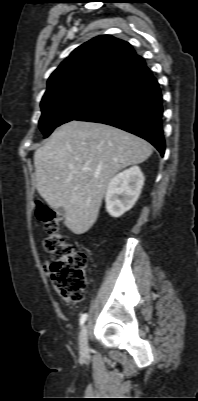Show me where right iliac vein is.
<instances>
[{
	"instance_id": "obj_1",
	"label": "right iliac vein",
	"mask_w": 198,
	"mask_h": 401,
	"mask_svg": "<svg viewBox=\"0 0 198 401\" xmlns=\"http://www.w3.org/2000/svg\"><path fill=\"white\" fill-rule=\"evenodd\" d=\"M80 353L82 356H86L88 353V329L86 325H83L79 334Z\"/></svg>"
}]
</instances>
